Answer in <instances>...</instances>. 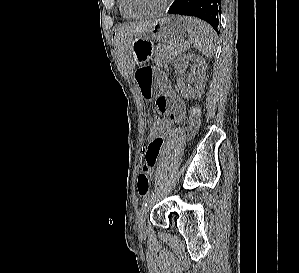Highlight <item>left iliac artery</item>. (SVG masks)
Listing matches in <instances>:
<instances>
[{
	"label": "left iliac artery",
	"mask_w": 299,
	"mask_h": 273,
	"mask_svg": "<svg viewBox=\"0 0 299 273\" xmlns=\"http://www.w3.org/2000/svg\"><path fill=\"white\" fill-rule=\"evenodd\" d=\"M155 193L152 192L151 195H149L148 197L145 198L144 202H143V206H147V204L153 199Z\"/></svg>",
	"instance_id": "left-iliac-artery-1"
}]
</instances>
